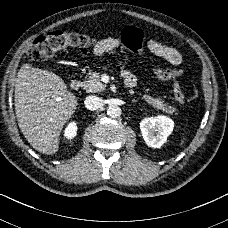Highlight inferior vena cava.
I'll return each instance as SVG.
<instances>
[{
	"mask_svg": "<svg viewBox=\"0 0 228 228\" xmlns=\"http://www.w3.org/2000/svg\"><path fill=\"white\" fill-rule=\"evenodd\" d=\"M84 104L88 110L94 111L102 107L103 100L98 96L91 95L85 98Z\"/></svg>",
	"mask_w": 228,
	"mask_h": 228,
	"instance_id": "602c4592",
	"label": "inferior vena cava"
}]
</instances>
